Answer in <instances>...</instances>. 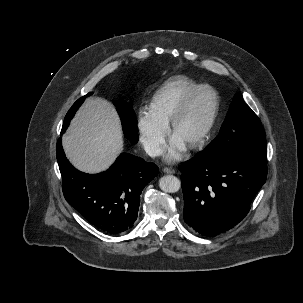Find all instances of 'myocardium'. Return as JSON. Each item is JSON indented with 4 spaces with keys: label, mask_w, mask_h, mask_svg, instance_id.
<instances>
[{
    "label": "myocardium",
    "mask_w": 303,
    "mask_h": 303,
    "mask_svg": "<svg viewBox=\"0 0 303 303\" xmlns=\"http://www.w3.org/2000/svg\"><path fill=\"white\" fill-rule=\"evenodd\" d=\"M203 90H209L214 94L215 97V106L213 109V112L206 124V126L203 128V130L199 133V135L188 145L190 149H197L200 146L204 144V142L209 137L211 131L213 130L215 123L217 121V118L220 113L221 108V97L218 93V91L208 85V84H201L195 89H193L188 95L183 99V101L180 103V105L177 107V109L172 114L170 120H169V131L171 134H174V131L176 129V126L180 119L183 117V115L186 113L188 108L190 107L192 101L194 98Z\"/></svg>",
    "instance_id": "obj_1"
}]
</instances>
